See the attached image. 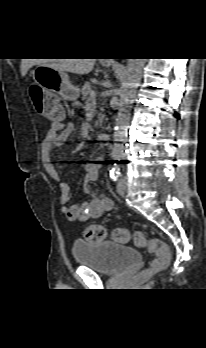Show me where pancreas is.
Masks as SVG:
<instances>
[{
	"instance_id": "obj_1",
	"label": "pancreas",
	"mask_w": 206,
	"mask_h": 348,
	"mask_svg": "<svg viewBox=\"0 0 206 348\" xmlns=\"http://www.w3.org/2000/svg\"><path fill=\"white\" fill-rule=\"evenodd\" d=\"M92 91V88H91V84L90 82H85V84L82 86L80 92H81V95H82V99L87 102H92L94 100V98H92L90 96V93ZM98 120L95 122V126L98 127V126H102V123H103V120L105 118V115L103 114V109L100 108V112H98Z\"/></svg>"
}]
</instances>
